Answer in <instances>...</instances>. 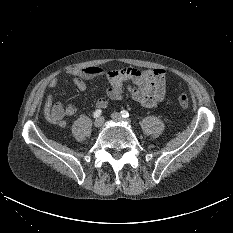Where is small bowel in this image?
<instances>
[{
	"label": "small bowel",
	"mask_w": 233,
	"mask_h": 233,
	"mask_svg": "<svg viewBox=\"0 0 233 233\" xmlns=\"http://www.w3.org/2000/svg\"><path fill=\"white\" fill-rule=\"evenodd\" d=\"M71 82L79 89H86V81L95 78H105L108 81L106 89L110 100L118 101L123 97H129L146 108H154L163 101L166 94V72L163 69H141L135 66H127L119 69H107L101 66H89L69 71ZM129 82L130 85H126ZM59 80L54 78L49 86L55 88ZM108 100L99 98L96 101L98 109H106ZM44 117L51 124L61 128L66 127V116L76 113V107L72 104L64 106L56 101L55 95L50 94L44 105Z\"/></svg>",
	"instance_id": "c3829d8e"
}]
</instances>
